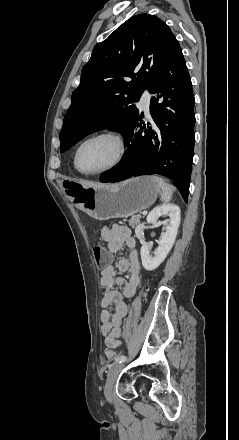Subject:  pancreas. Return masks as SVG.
<instances>
[{
	"instance_id": "1",
	"label": "pancreas",
	"mask_w": 239,
	"mask_h": 440,
	"mask_svg": "<svg viewBox=\"0 0 239 440\" xmlns=\"http://www.w3.org/2000/svg\"><path fill=\"white\" fill-rule=\"evenodd\" d=\"M140 218H144V216H132L130 220H123V222H128L129 226L135 228V226H138V224H140Z\"/></svg>"
}]
</instances>
